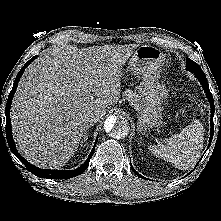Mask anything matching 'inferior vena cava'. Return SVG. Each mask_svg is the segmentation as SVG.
Masks as SVG:
<instances>
[{
	"label": "inferior vena cava",
	"mask_w": 221,
	"mask_h": 221,
	"mask_svg": "<svg viewBox=\"0 0 221 221\" xmlns=\"http://www.w3.org/2000/svg\"><path fill=\"white\" fill-rule=\"evenodd\" d=\"M105 115L104 112L102 111H95V112H92L88 115V122L90 123H96L100 120V118H102L103 116Z\"/></svg>",
	"instance_id": "1"
}]
</instances>
